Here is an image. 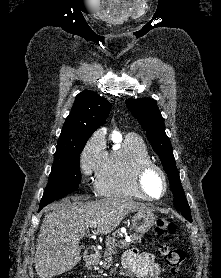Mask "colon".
Wrapping results in <instances>:
<instances>
[{
  "instance_id": "1",
  "label": "colon",
  "mask_w": 221,
  "mask_h": 278,
  "mask_svg": "<svg viewBox=\"0 0 221 278\" xmlns=\"http://www.w3.org/2000/svg\"><path fill=\"white\" fill-rule=\"evenodd\" d=\"M155 234L158 237H171L175 234V225L167 218L161 217L156 221ZM162 254L169 269L176 273L179 272L185 262V251L181 248L165 247Z\"/></svg>"
}]
</instances>
